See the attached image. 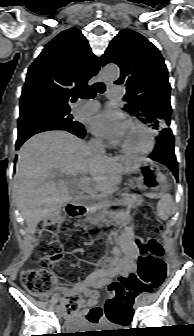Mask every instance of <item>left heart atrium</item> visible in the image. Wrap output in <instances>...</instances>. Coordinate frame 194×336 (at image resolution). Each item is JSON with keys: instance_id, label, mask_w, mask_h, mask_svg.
I'll return each instance as SVG.
<instances>
[{"instance_id": "1", "label": "left heart atrium", "mask_w": 194, "mask_h": 336, "mask_svg": "<svg viewBox=\"0 0 194 336\" xmlns=\"http://www.w3.org/2000/svg\"><path fill=\"white\" fill-rule=\"evenodd\" d=\"M127 122L122 113L105 109L91 118L89 122L90 130L113 143H120Z\"/></svg>"}]
</instances>
